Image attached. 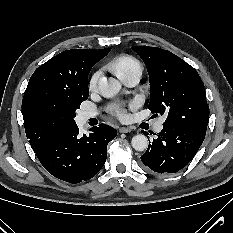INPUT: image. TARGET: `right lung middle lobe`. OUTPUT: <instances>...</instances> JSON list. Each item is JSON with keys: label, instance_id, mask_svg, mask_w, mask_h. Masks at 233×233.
Here are the masks:
<instances>
[{"label": "right lung middle lobe", "instance_id": "obj_1", "mask_svg": "<svg viewBox=\"0 0 233 233\" xmlns=\"http://www.w3.org/2000/svg\"><path fill=\"white\" fill-rule=\"evenodd\" d=\"M89 96L85 87L81 92L67 95L44 94L32 106L33 120L48 131H65L76 125L75 111Z\"/></svg>", "mask_w": 233, "mask_h": 233}]
</instances>
